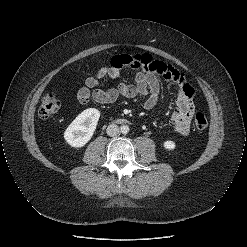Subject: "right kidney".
Masks as SVG:
<instances>
[{"label":"right kidney","instance_id":"1","mask_svg":"<svg viewBox=\"0 0 247 247\" xmlns=\"http://www.w3.org/2000/svg\"><path fill=\"white\" fill-rule=\"evenodd\" d=\"M100 111L88 108L81 112L64 132L65 141L74 148L85 146L94 134Z\"/></svg>","mask_w":247,"mask_h":247}]
</instances>
